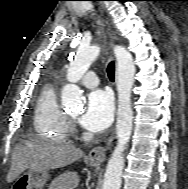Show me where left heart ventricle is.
<instances>
[{
	"label": "left heart ventricle",
	"mask_w": 188,
	"mask_h": 189,
	"mask_svg": "<svg viewBox=\"0 0 188 189\" xmlns=\"http://www.w3.org/2000/svg\"><path fill=\"white\" fill-rule=\"evenodd\" d=\"M72 116H73V117H75V116H76V114H73Z\"/></svg>",
	"instance_id": "left-heart-ventricle-1"
}]
</instances>
